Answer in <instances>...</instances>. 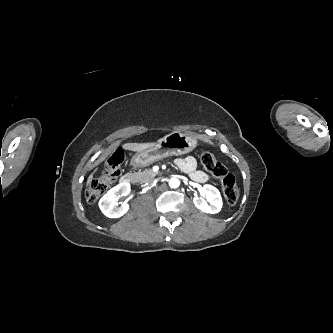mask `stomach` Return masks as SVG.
<instances>
[{
  "mask_svg": "<svg viewBox=\"0 0 333 333\" xmlns=\"http://www.w3.org/2000/svg\"><path fill=\"white\" fill-rule=\"evenodd\" d=\"M196 145L197 141L194 138L174 131L159 139L153 147L136 153L131 159V165L145 167L167 156L189 153Z\"/></svg>",
  "mask_w": 333,
  "mask_h": 333,
  "instance_id": "1",
  "label": "stomach"
}]
</instances>
